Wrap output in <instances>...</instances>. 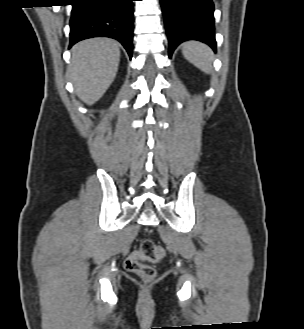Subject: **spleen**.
<instances>
[{
	"instance_id": "3e777b00",
	"label": "spleen",
	"mask_w": 304,
	"mask_h": 329,
	"mask_svg": "<svg viewBox=\"0 0 304 329\" xmlns=\"http://www.w3.org/2000/svg\"><path fill=\"white\" fill-rule=\"evenodd\" d=\"M183 56L205 73L212 69L213 55L211 49L200 42L188 41L182 46Z\"/></svg>"
}]
</instances>
